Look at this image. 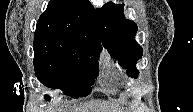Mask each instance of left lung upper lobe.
<instances>
[{"label":"left lung upper lobe","instance_id":"obj_1","mask_svg":"<svg viewBox=\"0 0 193 112\" xmlns=\"http://www.w3.org/2000/svg\"><path fill=\"white\" fill-rule=\"evenodd\" d=\"M124 4L108 2L97 9L99 35L104 47L118 63L127 68L132 77L138 76L136 62L142 57L143 49L135 41L137 25L123 14Z\"/></svg>","mask_w":193,"mask_h":112}]
</instances>
